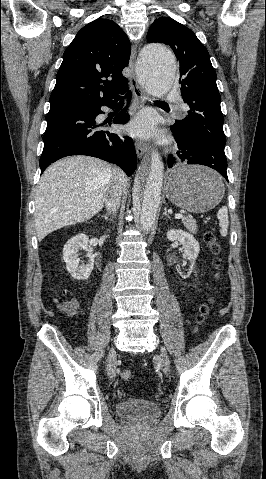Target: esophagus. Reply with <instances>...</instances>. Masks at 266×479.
I'll return each instance as SVG.
<instances>
[{
	"mask_svg": "<svg viewBox=\"0 0 266 479\" xmlns=\"http://www.w3.org/2000/svg\"><path fill=\"white\" fill-rule=\"evenodd\" d=\"M136 54H137V44H134L132 46L130 60H129V68L132 72L129 78V82H130V86L133 90V94L135 98L140 104H143L146 101L147 97H146L145 91L142 89V87L138 83L135 72H134ZM135 147H136V153L138 158H141L145 153L149 152V147L141 141H137L135 144Z\"/></svg>",
	"mask_w": 266,
	"mask_h": 479,
	"instance_id": "1",
	"label": "esophagus"
}]
</instances>
